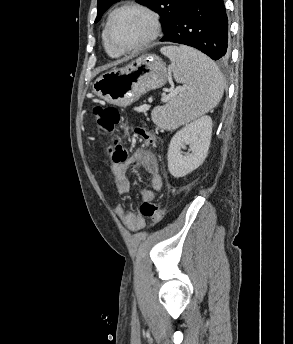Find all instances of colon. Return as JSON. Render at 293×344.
Returning <instances> with one entry per match:
<instances>
[{"instance_id":"obj_1","label":"colon","mask_w":293,"mask_h":344,"mask_svg":"<svg viewBox=\"0 0 293 344\" xmlns=\"http://www.w3.org/2000/svg\"><path fill=\"white\" fill-rule=\"evenodd\" d=\"M92 119L100 136L109 140L108 154L113 165L126 163L128 150L119 139H113L116 128L121 120V113L115 107L96 106L92 109ZM135 136L145 145H153V134L141 127L135 129ZM140 212L150 217L154 224L161 222L164 212L157 202L144 201L140 206Z\"/></svg>"}]
</instances>
